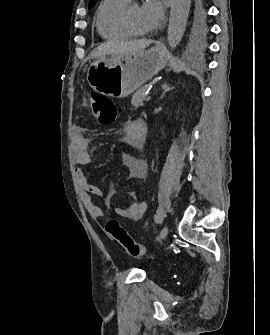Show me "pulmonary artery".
<instances>
[{
  "label": "pulmonary artery",
  "mask_w": 270,
  "mask_h": 335,
  "mask_svg": "<svg viewBox=\"0 0 270 335\" xmlns=\"http://www.w3.org/2000/svg\"><path fill=\"white\" fill-rule=\"evenodd\" d=\"M122 1H124V2H130L131 0H122Z\"/></svg>",
  "instance_id": "obj_1"
}]
</instances>
